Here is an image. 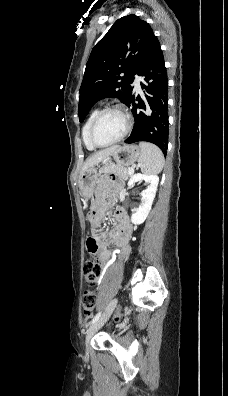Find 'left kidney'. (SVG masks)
I'll use <instances>...</instances> for the list:
<instances>
[{
	"label": "left kidney",
	"instance_id": "1",
	"mask_svg": "<svg viewBox=\"0 0 228 396\" xmlns=\"http://www.w3.org/2000/svg\"><path fill=\"white\" fill-rule=\"evenodd\" d=\"M145 181L147 185L146 189L141 192V203L138 208L133 210L131 216V222L133 224H141L143 223L152 207L153 200L156 195L157 186L159 183V177L157 175H148V174H134L129 182L128 186L132 187L137 182Z\"/></svg>",
	"mask_w": 228,
	"mask_h": 396
}]
</instances>
